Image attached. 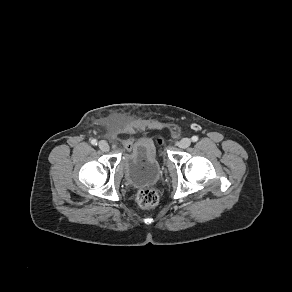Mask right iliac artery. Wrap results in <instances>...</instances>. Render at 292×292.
I'll use <instances>...</instances> for the list:
<instances>
[{"label":"right iliac artery","mask_w":292,"mask_h":292,"mask_svg":"<svg viewBox=\"0 0 292 292\" xmlns=\"http://www.w3.org/2000/svg\"><path fill=\"white\" fill-rule=\"evenodd\" d=\"M91 144H92V145H97V140H96V139H92V140H91Z\"/></svg>","instance_id":"obj_1"}]
</instances>
